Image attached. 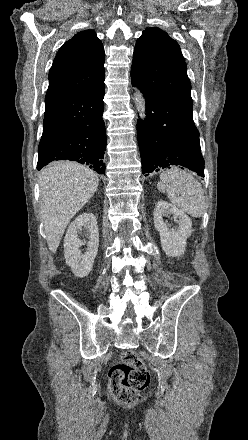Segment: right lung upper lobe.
Returning a JSON list of instances; mask_svg holds the SVG:
<instances>
[{
	"label": "right lung upper lobe",
	"instance_id": "1",
	"mask_svg": "<svg viewBox=\"0 0 248 440\" xmlns=\"http://www.w3.org/2000/svg\"><path fill=\"white\" fill-rule=\"evenodd\" d=\"M105 53L93 30L77 33L59 49L49 72L45 105L104 84Z\"/></svg>",
	"mask_w": 248,
	"mask_h": 440
}]
</instances>
